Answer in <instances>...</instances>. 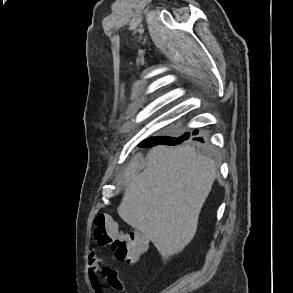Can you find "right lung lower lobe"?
<instances>
[{"mask_svg":"<svg viewBox=\"0 0 293 293\" xmlns=\"http://www.w3.org/2000/svg\"><path fill=\"white\" fill-rule=\"evenodd\" d=\"M198 132L194 131L193 133H186L178 138L170 137V136H157L154 138H149L141 142L139 145L140 147H152L159 144H165V145H176L179 143H182L183 141L193 138L194 140L203 142L202 138L197 137Z\"/></svg>","mask_w":293,"mask_h":293,"instance_id":"obj_1","label":"right lung lower lobe"}]
</instances>
